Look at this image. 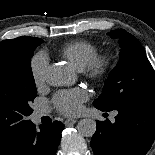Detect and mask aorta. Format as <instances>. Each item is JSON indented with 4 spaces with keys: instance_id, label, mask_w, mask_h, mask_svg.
<instances>
[{
    "instance_id": "1",
    "label": "aorta",
    "mask_w": 155,
    "mask_h": 155,
    "mask_svg": "<svg viewBox=\"0 0 155 155\" xmlns=\"http://www.w3.org/2000/svg\"><path fill=\"white\" fill-rule=\"evenodd\" d=\"M72 78L71 69L64 63L53 64L46 70V82L51 86L66 85L72 81ZM77 130L82 136L92 137L96 132V123L89 118L82 119L78 122Z\"/></svg>"
}]
</instances>
